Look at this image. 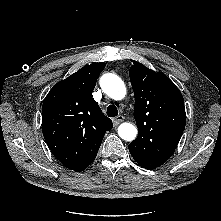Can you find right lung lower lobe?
I'll list each match as a JSON object with an SVG mask.
<instances>
[{
    "label": "right lung lower lobe",
    "mask_w": 221,
    "mask_h": 221,
    "mask_svg": "<svg viewBox=\"0 0 221 221\" xmlns=\"http://www.w3.org/2000/svg\"><path fill=\"white\" fill-rule=\"evenodd\" d=\"M97 154H95L94 156H92L88 162H86L84 165H82L81 167H79L78 169H76L77 172L83 171L85 170V168H87L95 159Z\"/></svg>",
    "instance_id": "98d812e1"
}]
</instances>
